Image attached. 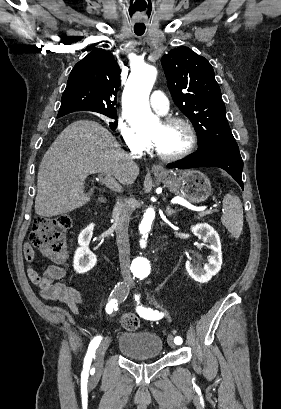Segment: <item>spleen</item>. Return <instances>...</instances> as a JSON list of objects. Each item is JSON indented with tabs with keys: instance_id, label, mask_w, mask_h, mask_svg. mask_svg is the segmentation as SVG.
Listing matches in <instances>:
<instances>
[{
	"instance_id": "1",
	"label": "spleen",
	"mask_w": 281,
	"mask_h": 409,
	"mask_svg": "<svg viewBox=\"0 0 281 409\" xmlns=\"http://www.w3.org/2000/svg\"><path fill=\"white\" fill-rule=\"evenodd\" d=\"M224 215L221 223L228 229L234 239H239L243 229V207L239 196L226 194L223 198Z\"/></svg>"
}]
</instances>
